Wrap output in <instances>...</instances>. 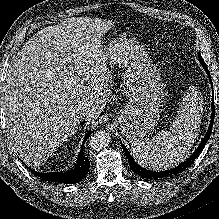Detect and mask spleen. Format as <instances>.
I'll return each mask as SVG.
<instances>
[{"label":"spleen","instance_id":"obj_1","mask_svg":"<svg viewBox=\"0 0 219 219\" xmlns=\"http://www.w3.org/2000/svg\"><path fill=\"white\" fill-rule=\"evenodd\" d=\"M198 92L191 87L184 94L170 130H162L151 140L131 141L132 155L142 166L151 170L173 167L183 160L198 135L202 105Z\"/></svg>","mask_w":219,"mask_h":219}]
</instances>
